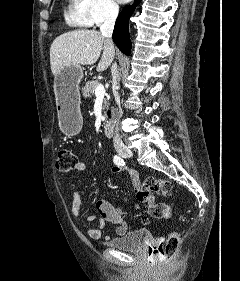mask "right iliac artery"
Wrapping results in <instances>:
<instances>
[{"instance_id": "obj_1", "label": "right iliac artery", "mask_w": 240, "mask_h": 281, "mask_svg": "<svg viewBox=\"0 0 240 281\" xmlns=\"http://www.w3.org/2000/svg\"><path fill=\"white\" fill-rule=\"evenodd\" d=\"M113 161L118 166H124L125 165V161L118 155L114 156Z\"/></svg>"}]
</instances>
